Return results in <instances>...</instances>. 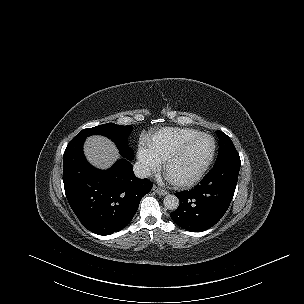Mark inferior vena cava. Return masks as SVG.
<instances>
[{
  "instance_id": "1",
  "label": "inferior vena cava",
  "mask_w": 304,
  "mask_h": 304,
  "mask_svg": "<svg viewBox=\"0 0 304 304\" xmlns=\"http://www.w3.org/2000/svg\"><path fill=\"white\" fill-rule=\"evenodd\" d=\"M134 174L138 178H148L151 175L150 168L141 162H136L133 166Z\"/></svg>"
}]
</instances>
